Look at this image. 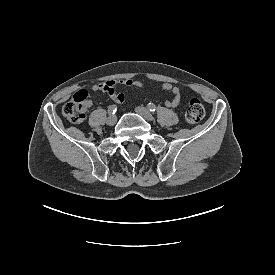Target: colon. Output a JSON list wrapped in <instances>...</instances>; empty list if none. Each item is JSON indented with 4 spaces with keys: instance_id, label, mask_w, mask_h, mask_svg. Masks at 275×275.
<instances>
[{
    "instance_id": "5ec220e1",
    "label": "colon",
    "mask_w": 275,
    "mask_h": 275,
    "mask_svg": "<svg viewBox=\"0 0 275 275\" xmlns=\"http://www.w3.org/2000/svg\"><path fill=\"white\" fill-rule=\"evenodd\" d=\"M89 98L86 90H80L64 104L62 113L64 117L72 123H81L86 117ZM205 109L201 101L191 97L188 108L185 112V120L188 124L198 123L204 116Z\"/></svg>"
}]
</instances>
